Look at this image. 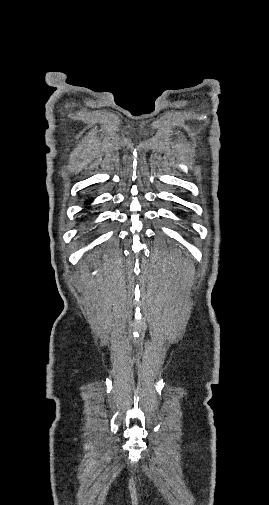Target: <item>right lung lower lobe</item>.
I'll list each match as a JSON object with an SVG mask.
<instances>
[{"mask_svg":"<svg viewBox=\"0 0 269 505\" xmlns=\"http://www.w3.org/2000/svg\"><path fill=\"white\" fill-rule=\"evenodd\" d=\"M90 201H91V199L87 200V201H86V203H87V204H89V203H90ZM86 212H87V211H86Z\"/></svg>","mask_w":269,"mask_h":505,"instance_id":"right-lung-lower-lobe-1","label":"right lung lower lobe"}]
</instances>
